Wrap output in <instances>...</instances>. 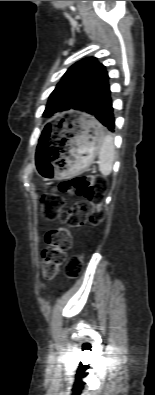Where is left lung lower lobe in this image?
Listing matches in <instances>:
<instances>
[{
  "instance_id": "1",
  "label": "left lung lower lobe",
  "mask_w": 155,
  "mask_h": 395,
  "mask_svg": "<svg viewBox=\"0 0 155 395\" xmlns=\"http://www.w3.org/2000/svg\"><path fill=\"white\" fill-rule=\"evenodd\" d=\"M108 80L109 77L89 93L83 100L80 110L92 115L113 132L115 124Z\"/></svg>"
}]
</instances>
